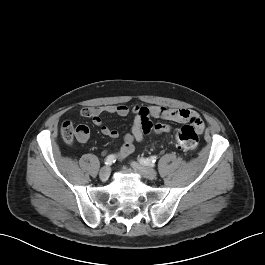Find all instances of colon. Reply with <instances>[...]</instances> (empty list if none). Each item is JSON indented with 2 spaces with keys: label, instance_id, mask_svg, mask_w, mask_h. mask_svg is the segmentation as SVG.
Returning <instances> with one entry per match:
<instances>
[{
  "label": "colon",
  "instance_id": "obj_1",
  "mask_svg": "<svg viewBox=\"0 0 265 265\" xmlns=\"http://www.w3.org/2000/svg\"><path fill=\"white\" fill-rule=\"evenodd\" d=\"M75 130L71 122L66 121L61 126L62 140L71 145L74 141ZM178 146L185 151L194 150L199 142L198 129L194 125H184L177 129L175 135Z\"/></svg>",
  "mask_w": 265,
  "mask_h": 265
}]
</instances>
